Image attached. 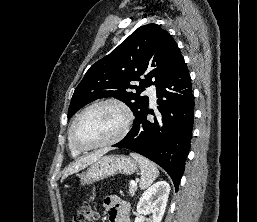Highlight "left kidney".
I'll return each mask as SVG.
<instances>
[{
  "instance_id": "1",
  "label": "left kidney",
  "mask_w": 257,
  "mask_h": 222,
  "mask_svg": "<svg viewBox=\"0 0 257 222\" xmlns=\"http://www.w3.org/2000/svg\"><path fill=\"white\" fill-rule=\"evenodd\" d=\"M170 185L166 181H158L149 187L137 204L139 214H153V222H161L167 206Z\"/></svg>"
}]
</instances>
